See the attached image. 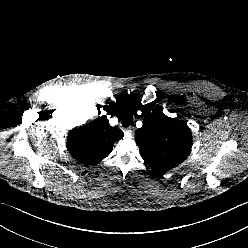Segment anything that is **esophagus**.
<instances>
[{
  "mask_svg": "<svg viewBox=\"0 0 248 248\" xmlns=\"http://www.w3.org/2000/svg\"><path fill=\"white\" fill-rule=\"evenodd\" d=\"M134 130H135V128H134L133 126L128 127V128L125 130L126 135H128L129 137H131L132 134L134 133Z\"/></svg>",
  "mask_w": 248,
  "mask_h": 248,
  "instance_id": "1",
  "label": "esophagus"
}]
</instances>
